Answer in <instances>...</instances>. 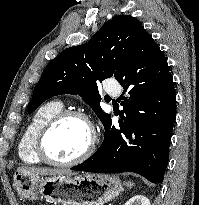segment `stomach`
I'll return each instance as SVG.
<instances>
[{"label":"stomach","instance_id":"stomach-1","mask_svg":"<svg viewBox=\"0 0 199 205\" xmlns=\"http://www.w3.org/2000/svg\"><path fill=\"white\" fill-rule=\"evenodd\" d=\"M13 177L20 196L55 205H103L122 191L120 180L109 174L43 177L17 171Z\"/></svg>","mask_w":199,"mask_h":205}]
</instances>
